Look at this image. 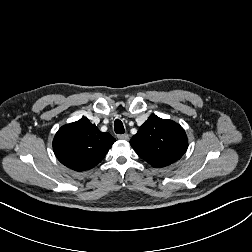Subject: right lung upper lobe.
Here are the masks:
<instances>
[{"instance_id":"cb5924a9","label":"right lung upper lobe","mask_w":252,"mask_h":252,"mask_svg":"<svg viewBox=\"0 0 252 252\" xmlns=\"http://www.w3.org/2000/svg\"><path fill=\"white\" fill-rule=\"evenodd\" d=\"M115 141L87 118H81L58 130L53 150L58 160L68 168L85 171L99 164Z\"/></svg>"}]
</instances>
